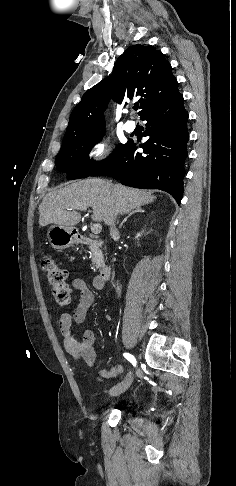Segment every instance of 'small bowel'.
I'll list each match as a JSON object with an SVG mask.
<instances>
[{
  "label": "small bowel",
  "instance_id": "obj_1",
  "mask_svg": "<svg viewBox=\"0 0 236 486\" xmlns=\"http://www.w3.org/2000/svg\"><path fill=\"white\" fill-rule=\"evenodd\" d=\"M95 290H101L103 284L98 282L97 278L93 280ZM72 289L80 293L79 303L73 313L62 312L59 314V330L63 337V343L67 352L75 359H83L85 363L93 367L97 364V352L95 349L96 335L91 329H82L80 333L82 338L79 339L73 329V324H82L87 316V312L94 302V292L87 286L81 278H75L72 281ZM123 372V366L116 364L109 370H101L99 379L114 378Z\"/></svg>",
  "mask_w": 236,
  "mask_h": 486
}]
</instances>
